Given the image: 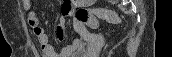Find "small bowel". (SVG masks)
<instances>
[{"label":"small bowel","mask_w":172,"mask_h":57,"mask_svg":"<svg viewBox=\"0 0 172 57\" xmlns=\"http://www.w3.org/2000/svg\"><path fill=\"white\" fill-rule=\"evenodd\" d=\"M72 4H78V2H73ZM24 8L28 11V24L32 29L34 36L36 37L42 55L44 57H70L76 52L84 50V44L82 40L78 37H75L72 42L64 46L59 53H57L53 46L49 43V37L45 32V26L48 25V20L44 21V25L40 24L38 18V8L34 6L31 1H24ZM70 10V3H66L62 11L63 14L60 17L59 23L56 26L55 37L57 41H62L65 37L66 23H65V14Z\"/></svg>","instance_id":"obj_1"}]
</instances>
